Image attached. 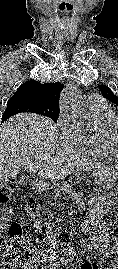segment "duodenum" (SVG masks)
<instances>
[{"label": "duodenum", "mask_w": 118, "mask_h": 269, "mask_svg": "<svg viewBox=\"0 0 118 269\" xmlns=\"http://www.w3.org/2000/svg\"><path fill=\"white\" fill-rule=\"evenodd\" d=\"M35 219L39 220V221H42V222H45L47 224H50L51 226H53V228H58V224H56L55 222L53 221H50L48 220L45 216H43L42 214H35Z\"/></svg>", "instance_id": "duodenum-1"}]
</instances>
